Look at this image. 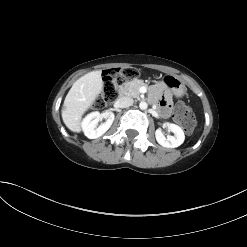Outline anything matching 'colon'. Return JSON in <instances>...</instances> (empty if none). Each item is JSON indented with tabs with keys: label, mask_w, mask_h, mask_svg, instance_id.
Instances as JSON below:
<instances>
[{
	"label": "colon",
	"mask_w": 247,
	"mask_h": 247,
	"mask_svg": "<svg viewBox=\"0 0 247 247\" xmlns=\"http://www.w3.org/2000/svg\"><path fill=\"white\" fill-rule=\"evenodd\" d=\"M139 72L134 67L114 68L105 73L103 89L95 101V106L102 108L115 101L119 95V85L136 78ZM174 119L183 130L190 134L196 126V119L192 110L183 102L177 103L174 111Z\"/></svg>",
	"instance_id": "obj_1"
}]
</instances>
